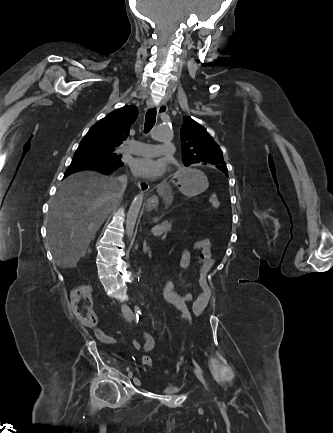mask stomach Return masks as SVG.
<instances>
[{
  "mask_svg": "<svg viewBox=\"0 0 333 433\" xmlns=\"http://www.w3.org/2000/svg\"><path fill=\"white\" fill-rule=\"evenodd\" d=\"M206 175V169H178L177 173L172 175V182L178 183L184 195L192 197L201 194L208 188ZM156 204L157 197H154L147 206L153 209Z\"/></svg>",
  "mask_w": 333,
  "mask_h": 433,
  "instance_id": "0dacf381",
  "label": "stomach"
}]
</instances>
